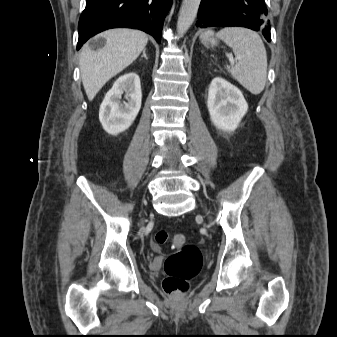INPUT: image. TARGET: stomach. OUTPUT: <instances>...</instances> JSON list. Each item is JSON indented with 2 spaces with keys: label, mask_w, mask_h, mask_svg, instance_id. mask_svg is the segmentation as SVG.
Instances as JSON below:
<instances>
[{
  "label": "stomach",
  "mask_w": 337,
  "mask_h": 337,
  "mask_svg": "<svg viewBox=\"0 0 337 337\" xmlns=\"http://www.w3.org/2000/svg\"><path fill=\"white\" fill-rule=\"evenodd\" d=\"M200 40L202 44L207 48H213L218 45V40L215 38L212 31H205L201 33Z\"/></svg>",
  "instance_id": "stomach-1"
}]
</instances>
